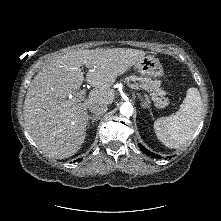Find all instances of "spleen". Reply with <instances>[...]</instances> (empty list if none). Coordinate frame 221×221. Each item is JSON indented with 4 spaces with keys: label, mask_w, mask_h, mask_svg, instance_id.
Returning a JSON list of instances; mask_svg holds the SVG:
<instances>
[{
    "label": "spleen",
    "mask_w": 221,
    "mask_h": 221,
    "mask_svg": "<svg viewBox=\"0 0 221 221\" xmlns=\"http://www.w3.org/2000/svg\"><path fill=\"white\" fill-rule=\"evenodd\" d=\"M202 111L201 96L197 88H189L180 111L158 118L154 122L155 134L168 148L178 149L185 145L196 131Z\"/></svg>",
    "instance_id": "1"
}]
</instances>
